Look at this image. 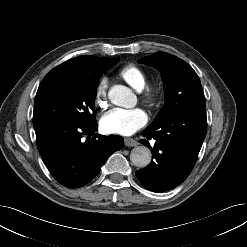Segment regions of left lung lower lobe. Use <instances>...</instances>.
Here are the masks:
<instances>
[{"mask_svg": "<svg viewBox=\"0 0 247 247\" xmlns=\"http://www.w3.org/2000/svg\"><path fill=\"white\" fill-rule=\"evenodd\" d=\"M207 131L205 111L180 113L147 127L139 142L151 148V163L136 171L148 190L164 192L181 184L192 171ZM155 141L150 146L149 140Z\"/></svg>", "mask_w": 247, "mask_h": 247, "instance_id": "obj_1", "label": "left lung lower lobe"}]
</instances>
